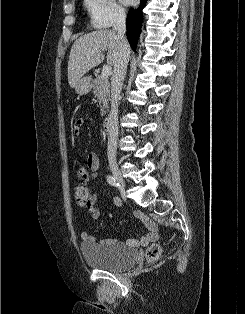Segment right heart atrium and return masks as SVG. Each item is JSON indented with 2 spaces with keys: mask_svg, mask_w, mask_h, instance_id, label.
Instances as JSON below:
<instances>
[{
  "mask_svg": "<svg viewBox=\"0 0 245 314\" xmlns=\"http://www.w3.org/2000/svg\"><path fill=\"white\" fill-rule=\"evenodd\" d=\"M91 25L106 29L120 23L125 17L124 8L116 0H86Z\"/></svg>",
  "mask_w": 245,
  "mask_h": 314,
  "instance_id": "d8ad5b80",
  "label": "right heart atrium"
}]
</instances>
